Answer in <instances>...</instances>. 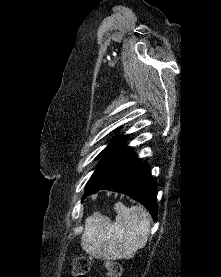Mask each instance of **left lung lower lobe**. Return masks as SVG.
<instances>
[{
    "mask_svg": "<svg viewBox=\"0 0 221 277\" xmlns=\"http://www.w3.org/2000/svg\"><path fill=\"white\" fill-rule=\"evenodd\" d=\"M106 189L130 196L143 204L157 218V186L150 174L147 163L136 157L115 175L99 183L86 187L84 198L90 194Z\"/></svg>",
    "mask_w": 221,
    "mask_h": 277,
    "instance_id": "1",
    "label": "left lung lower lobe"
}]
</instances>
